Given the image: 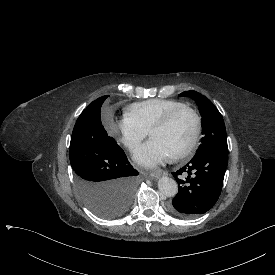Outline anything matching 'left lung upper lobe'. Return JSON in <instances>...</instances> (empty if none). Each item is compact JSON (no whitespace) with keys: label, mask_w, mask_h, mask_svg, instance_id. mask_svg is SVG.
<instances>
[{"label":"left lung upper lobe","mask_w":275,"mask_h":275,"mask_svg":"<svg viewBox=\"0 0 275 275\" xmlns=\"http://www.w3.org/2000/svg\"><path fill=\"white\" fill-rule=\"evenodd\" d=\"M181 96L191 97L195 100L202 116V144L198 148L195 156L201 155L203 152L227 147L226 129L223 118L212 102L196 91H185Z\"/></svg>","instance_id":"5c2ea615"}]
</instances>
